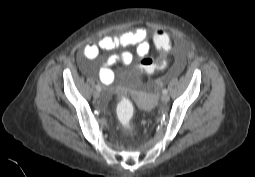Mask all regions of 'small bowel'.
<instances>
[{"label": "small bowel", "instance_id": "obj_1", "mask_svg": "<svg viewBox=\"0 0 255 177\" xmlns=\"http://www.w3.org/2000/svg\"><path fill=\"white\" fill-rule=\"evenodd\" d=\"M129 46H136L138 56H146L151 49L148 30L144 27H138L133 31L126 32L118 36H103L97 42L86 44L83 48L82 58H80L81 68L86 73H89V67L84 59H95L99 55L100 50L110 51ZM132 60L133 54L127 51L111 55L106 59L104 65L99 71L100 81L104 84H110L114 79L112 67L116 63L129 64Z\"/></svg>", "mask_w": 255, "mask_h": 177}]
</instances>
